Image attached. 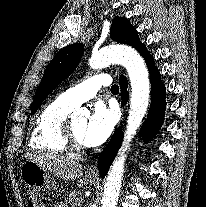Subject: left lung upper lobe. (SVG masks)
I'll return each instance as SVG.
<instances>
[{
    "instance_id": "5c2ea615",
    "label": "left lung upper lobe",
    "mask_w": 206,
    "mask_h": 207,
    "mask_svg": "<svg viewBox=\"0 0 206 207\" xmlns=\"http://www.w3.org/2000/svg\"><path fill=\"white\" fill-rule=\"evenodd\" d=\"M112 40L130 45L141 54L145 45L141 43L133 25L123 17H116L110 29ZM82 43L68 45L61 49L47 66L42 81L36 90L31 114H34L47 95L76 69L83 55Z\"/></svg>"
}]
</instances>
